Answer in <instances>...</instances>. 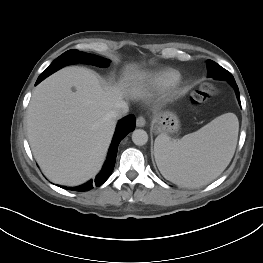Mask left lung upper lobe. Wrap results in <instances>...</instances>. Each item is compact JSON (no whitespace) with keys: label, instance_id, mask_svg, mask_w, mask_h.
I'll return each instance as SVG.
<instances>
[{"label":"left lung upper lobe","instance_id":"obj_1","mask_svg":"<svg viewBox=\"0 0 263 263\" xmlns=\"http://www.w3.org/2000/svg\"><path fill=\"white\" fill-rule=\"evenodd\" d=\"M212 60H208V63L211 62ZM216 71V76L213 77L214 79H219V80H226L228 82H233L235 81L232 74L222 68L220 65L215 69ZM211 77V76H210Z\"/></svg>","mask_w":263,"mask_h":263}]
</instances>
